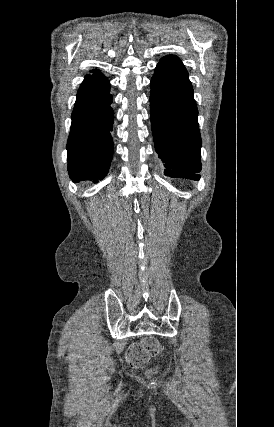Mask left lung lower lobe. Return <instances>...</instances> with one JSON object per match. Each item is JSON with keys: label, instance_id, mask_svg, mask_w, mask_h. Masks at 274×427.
<instances>
[{"label": "left lung lower lobe", "instance_id": "left-lung-lower-lobe-1", "mask_svg": "<svg viewBox=\"0 0 274 427\" xmlns=\"http://www.w3.org/2000/svg\"><path fill=\"white\" fill-rule=\"evenodd\" d=\"M188 73L174 55L162 58L151 80L150 117L164 174L199 180L201 137Z\"/></svg>", "mask_w": 274, "mask_h": 427}]
</instances>
